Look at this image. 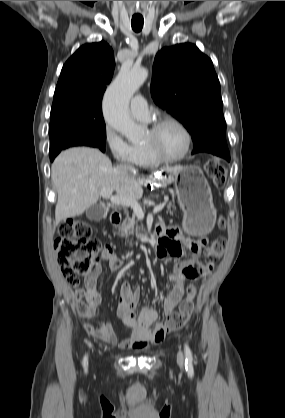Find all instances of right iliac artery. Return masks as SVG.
<instances>
[{"instance_id": "82829eb1", "label": "right iliac artery", "mask_w": 285, "mask_h": 418, "mask_svg": "<svg viewBox=\"0 0 285 418\" xmlns=\"http://www.w3.org/2000/svg\"><path fill=\"white\" fill-rule=\"evenodd\" d=\"M87 360H88V357H87V355H85V357L83 359V366H84L85 370L87 368Z\"/></svg>"}]
</instances>
